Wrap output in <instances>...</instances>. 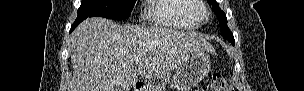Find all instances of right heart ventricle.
Returning <instances> with one entry per match:
<instances>
[{
	"instance_id": "obj_1",
	"label": "right heart ventricle",
	"mask_w": 304,
	"mask_h": 91,
	"mask_svg": "<svg viewBox=\"0 0 304 91\" xmlns=\"http://www.w3.org/2000/svg\"><path fill=\"white\" fill-rule=\"evenodd\" d=\"M150 3V13L157 25L191 30L201 24L197 0H154Z\"/></svg>"
}]
</instances>
